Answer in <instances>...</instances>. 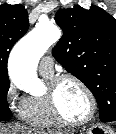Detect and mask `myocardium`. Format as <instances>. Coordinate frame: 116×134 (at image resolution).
Segmentation results:
<instances>
[{"instance_id":"obj_1","label":"myocardium","mask_w":116,"mask_h":134,"mask_svg":"<svg viewBox=\"0 0 116 134\" xmlns=\"http://www.w3.org/2000/svg\"><path fill=\"white\" fill-rule=\"evenodd\" d=\"M66 81H71L77 84L79 87H81L84 92L86 93L89 102H90V111L87 114L85 118L79 121H72L67 119L63 114L60 112L57 100H56V93L60 87V85ZM45 99L47 101L49 110L53 118L60 124L68 126V127H82L87 125L89 122H91L97 112V100L92 92V90L89 88L87 84H85L81 79L74 75L70 74H62L55 77H52L50 79L49 83V89L47 93L45 94Z\"/></svg>"}]
</instances>
